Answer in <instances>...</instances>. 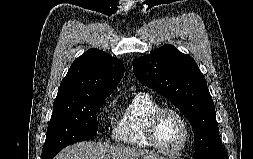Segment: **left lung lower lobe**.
<instances>
[{
    "instance_id": "0a47b994",
    "label": "left lung lower lobe",
    "mask_w": 253,
    "mask_h": 159,
    "mask_svg": "<svg viewBox=\"0 0 253 159\" xmlns=\"http://www.w3.org/2000/svg\"><path fill=\"white\" fill-rule=\"evenodd\" d=\"M214 159H227L226 153L224 149H221L217 156Z\"/></svg>"
}]
</instances>
